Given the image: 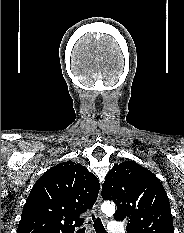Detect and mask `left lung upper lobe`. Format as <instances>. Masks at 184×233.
I'll list each match as a JSON object with an SVG mask.
<instances>
[{
	"label": "left lung upper lobe",
	"mask_w": 184,
	"mask_h": 233,
	"mask_svg": "<svg viewBox=\"0 0 184 233\" xmlns=\"http://www.w3.org/2000/svg\"><path fill=\"white\" fill-rule=\"evenodd\" d=\"M102 198L117 206L114 219L127 220L128 233H174L169 198L159 179L134 161L114 165Z\"/></svg>",
	"instance_id": "obj_1"
}]
</instances>
